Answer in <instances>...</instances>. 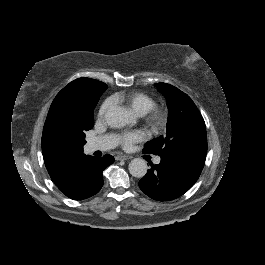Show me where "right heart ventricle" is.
Wrapping results in <instances>:
<instances>
[{
	"instance_id": "obj_1",
	"label": "right heart ventricle",
	"mask_w": 265,
	"mask_h": 265,
	"mask_svg": "<svg viewBox=\"0 0 265 265\" xmlns=\"http://www.w3.org/2000/svg\"><path fill=\"white\" fill-rule=\"evenodd\" d=\"M115 104L129 108L137 115H145L155 107L152 97L141 91L121 89L112 95Z\"/></svg>"
}]
</instances>
